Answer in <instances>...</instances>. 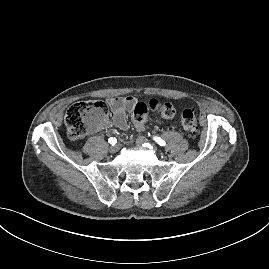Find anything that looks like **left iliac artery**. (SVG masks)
Returning <instances> with one entry per match:
<instances>
[{"instance_id": "1", "label": "left iliac artery", "mask_w": 269, "mask_h": 269, "mask_svg": "<svg viewBox=\"0 0 269 269\" xmlns=\"http://www.w3.org/2000/svg\"><path fill=\"white\" fill-rule=\"evenodd\" d=\"M153 140L155 142H157L161 146H165V144H166L165 141L162 138L158 137V136H154L153 137Z\"/></svg>"}]
</instances>
